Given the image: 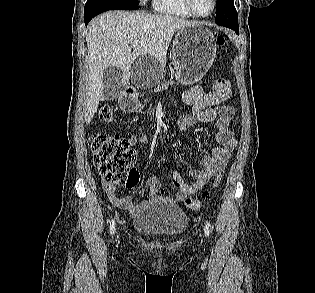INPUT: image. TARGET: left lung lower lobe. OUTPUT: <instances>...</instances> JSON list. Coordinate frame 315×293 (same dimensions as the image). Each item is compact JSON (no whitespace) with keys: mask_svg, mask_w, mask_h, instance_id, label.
<instances>
[{"mask_svg":"<svg viewBox=\"0 0 315 293\" xmlns=\"http://www.w3.org/2000/svg\"><path fill=\"white\" fill-rule=\"evenodd\" d=\"M236 33H239V28L235 31Z\"/></svg>","mask_w":315,"mask_h":293,"instance_id":"left-lung-lower-lobe-1","label":"left lung lower lobe"}]
</instances>
